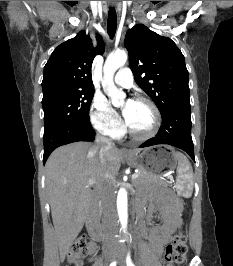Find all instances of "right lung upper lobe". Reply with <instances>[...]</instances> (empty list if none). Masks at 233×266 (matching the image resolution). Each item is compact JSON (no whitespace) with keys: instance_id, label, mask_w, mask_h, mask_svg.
Masks as SVG:
<instances>
[{"instance_id":"obj_1","label":"right lung upper lobe","mask_w":233,"mask_h":266,"mask_svg":"<svg viewBox=\"0 0 233 266\" xmlns=\"http://www.w3.org/2000/svg\"><path fill=\"white\" fill-rule=\"evenodd\" d=\"M97 47L84 31L60 44L44 67L43 96L59 91L94 89L91 66L97 54L104 52V43L96 35Z\"/></svg>"}]
</instances>
